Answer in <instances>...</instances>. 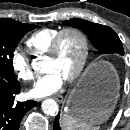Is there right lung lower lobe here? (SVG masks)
Masks as SVG:
<instances>
[{
    "mask_svg": "<svg viewBox=\"0 0 130 130\" xmlns=\"http://www.w3.org/2000/svg\"><path fill=\"white\" fill-rule=\"evenodd\" d=\"M20 83L0 75V130H19L25 113L37 105L36 101L16 102Z\"/></svg>",
    "mask_w": 130,
    "mask_h": 130,
    "instance_id": "98d812e1",
    "label": "right lung lower lobe"
}]
</instances>
